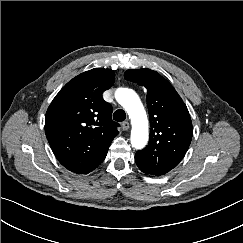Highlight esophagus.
<instances>
[{"label":"esophagus","mask_w":243,"mask_h":243,"mask_svg":"<svg viewBox=\"0 0 243 243\" xmlns=\"http://www.w3.org/2000/svg\"><path fill=\"white\" fill-rule=\"evenodd\" d=\"M121 127H122L123 131H127L130 127L129 122H127V121L122 122Z\"/></svg>","instance_id":"34e87169"}]
</instances>
